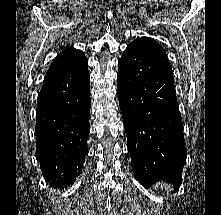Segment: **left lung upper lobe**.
Here are the masks:
<instances>
[{
  "label": "left lung upper lobe",
  "mask_w": 221,
  "mask_h": 215,
  "mask_svg": "<svg viewBox=\"0 0 221 215\" xmlns=\"http://www.w3.org/2000/svg\"><path fill=\"white\" fill-rule=\"evenodd\" d=\"M132 43L148 49L149 51L154 53L158 58H160L162 61H164L166 64L170 66L164 49L152 38L149 37L137 38Z\"/></svg>",
  "instance_id": "1"
}]
</instances>
